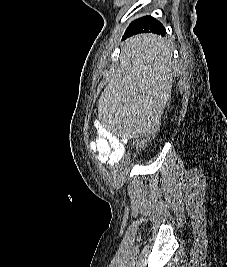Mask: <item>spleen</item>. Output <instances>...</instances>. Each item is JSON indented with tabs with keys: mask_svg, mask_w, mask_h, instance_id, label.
Returning a JSON list of instances; mask_svg holds the SVG:
<instances>
[{
	"mask_svg": "<svg viewBox=\"0 0 227 267\" xmlns=\"http://www.w3.org/2000/svg\"><path fill=\"white\" fill-rule=\"evenodd\" d=\"M122 58L124 68L118 76H106L100 93L99 115H160L172 87V56L164 40L156 36L133 38ZM119 105V106H118ZM144 105V106H130ZM103 129H114L118 137L137 140L151 129L155 116H100Z\"/></svg>",
	"mask_w": 227,
	"mask_h": 267,
	"instance_id": "1",
	"label": "spleen"
}]
</instances>
